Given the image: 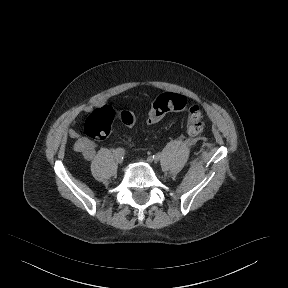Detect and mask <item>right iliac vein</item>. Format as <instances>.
I'll list each match as a JSON object with an SVG mask.
<instances>
[{
	"label": "right iliac vein",
	"mask_w": 288,
	"mask_h": 288,
	"mask_svg": "<svg viewBox=\"0 0 288 288\" xmlns=\"http://www.w3.org/2000/svg\"><path fill=\"white\" fill-rule=\"evenodd\" d=\"M115 159H116V161H117L119 164L122 163V160H121V159H118V158H116V157H115Z\"/></svg>",
	"instance_id": "1"
}]
</instances>
